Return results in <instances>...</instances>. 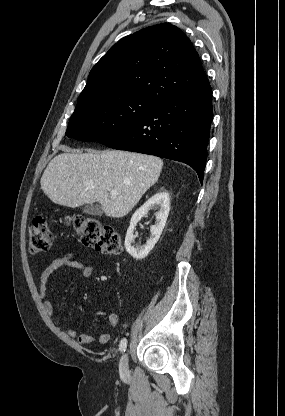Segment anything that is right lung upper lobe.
Wrapping results in <instances>:
<instances>
[{
    "mask_svg": "<svg viewBox=\"0 0 285 416\" xmlns=\"http://www.w3.org/2000/svg\"><path fill=\"white\" fill-rule=\"evenodd\" d=\"M209 85L189 38L162 23L126 36L89 73L76 110L126 97L158 105Z\"/></svg>",
    "mask_w": 285,
    "mask_h": 416,
    "instance_id": "cb5924a9",
    "label": "right lung upper lobe"
}]
</instances>
